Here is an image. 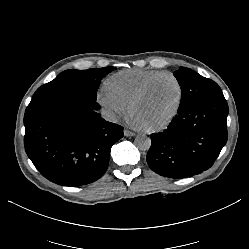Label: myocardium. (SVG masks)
I'll list each match as a JSON object with an SVG mask.
<instances>
[{"instance_id": "f54148a6", "label": "myocardium", "mask_w": 249, "mask_h": 249, "mask_svg": "<svg viewBox=\"0 0 249 249\" xmlns=\"http://www.w3.org/2000/svg\"><path fill=\"white\" fill-rule=\"evenodd\" d=\"M164 77L172 78L176 82L178 89H179L178 103L176 105L175 110L166 120L152 127H144V131L147 133H155V132H159V131L166 129L170 124H172V122L178 116L181 110L183 101H184V87H183L181 80L174 73H171V72H164V73L158 74L152 77L151 79H149L147 82H145L142 85V87L138 90V92L132 97V99L130 100L128 104V108L131 111L133 106L148 92V90L152 87V85L156 81Z\"/></svg>"}]
</instances>
